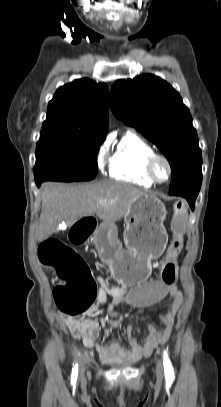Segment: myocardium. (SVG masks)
Here are the masks:
<instances>
[{
	"mask_svg": "<svg viewBox=\"0 0 221 407\" xmlns=\"http://www.w3.org/2000/svg\"><path fill=\"white\" fill-rule=\"evenodd\" d=\"M158 161H163L167 168H168V176L165 180H159L155 173V166ZM146 173L148 177L155 183V184H165L170 181L173 175V167L168 157L163 154H153L146 163Z\"/></svg>",
	"mask_w": 221,
	"mask_h": 407,
	"instance_id": "1",
	"label": "myocardium"
}]
</instances>
